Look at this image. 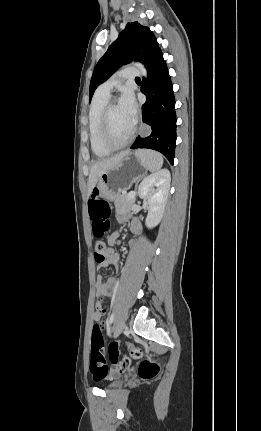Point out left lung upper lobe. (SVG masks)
I'll return each instance as SVG.
<instances>
[{
	"mask_svg": "<svg viewBox=\"0 0 261 431\" xmlns=\"http://www.w3.org/2000/svg\"><path fill=\"white\" fill-rule=\"evenodd\" d=\"M159 49L154 34L137 21L127 23L118 39L112 43L98 61L90 82V100L95 89L106 81L120 66L132 60L147 64Z\"/></svg>",
	"mask_w": 261,
	"mask_h": 431,
	"instance_id": "5c2ea615",
	"label": "left lung upper lobe"
}]
</instances>
